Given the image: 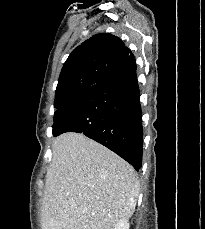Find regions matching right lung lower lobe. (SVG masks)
<instances>
[{"instance_id": "1", "label": "right lung lower lobe", "mask_w": 205, "mask_h": 229, "mask_svg": "<svg viewBox=\"0 0 205 229\" xmlns=\"http://www.w3.org/2000/svg\"><path fill=\"white\" fill-rule=\"evenodd\" d=\"M69 131L83 132L141 168L142 112L131 51L122 65L55 112L53 135Z\"/></svg>"}]
</instances>
